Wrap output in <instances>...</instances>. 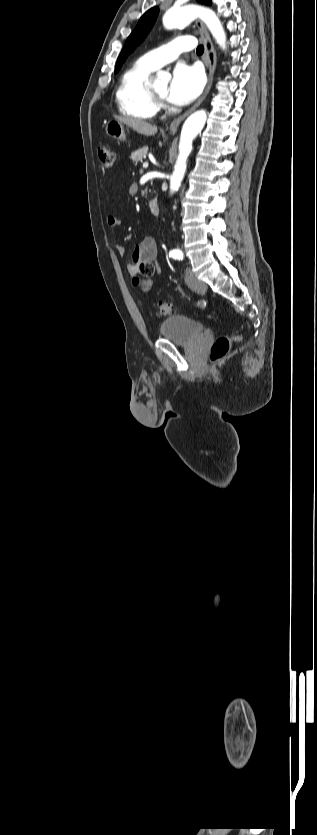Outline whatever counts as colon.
<instances>
[{
    "label": "colon",
    "instance_id": "1",
    "mask_svg": "<svg viewBox=\"0 0 317 835\" xmlns=\"http://www.w3.org/2000/svg\"><path fill=\"white\" fill-rule=\"evenodd\" d=\"M98 156L104 168L110 169L115 162V153L107 145H101L98 148ZM154 265L151 262L142 261L138 264L137 272L132 275V285L139 287L145 276H152L154 274ZM175 312V307L171 302H159L155 306V314L158 316H169ZM239 336L218 337L211 347L210 359L212 362L222 360L229 352L231 345L237 341Z\"/></svg>",
    "mask_w": 317,
    "mask_h": 835
}]
</instances>
